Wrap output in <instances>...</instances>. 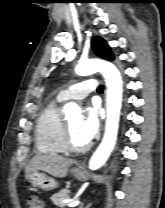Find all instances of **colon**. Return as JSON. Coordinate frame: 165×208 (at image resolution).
I'll return each instance as SVG.
<instances>
[{
  "mask_svg": "<svg viewBox=\"0 0 165 208\" xmlns=\"http://www.w3.org/2000/svg\"><path fill=\"white\" fill-rule=\"evenodd\" d=\"M29 208H43L41 200L36 196H30L28 198Z\"/></svg>",
  "mask_w": 165,
  "mask_h": 208,
  "instance_id": "colon-1",
  "label": "colon"
}]
</instances>
